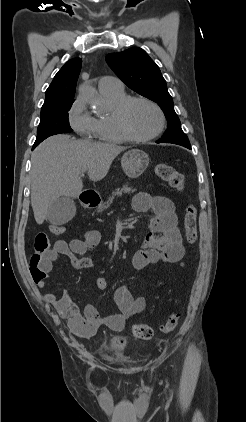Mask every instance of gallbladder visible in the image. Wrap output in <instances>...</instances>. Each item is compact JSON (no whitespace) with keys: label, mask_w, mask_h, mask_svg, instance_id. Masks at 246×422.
<instances>
[{"label":"gallbladder","mask_w":246,"mask_h":422,"mask_svg":"<svg viewBox=\"0 0 246 422\" xmlns=\"http://www.w3.org/2000/svg\"><path fill=\"white\" fill-rule=\"evenodd\" d=\"M76 213V206L72 198L61 196L50 206L46 220L54 225L68 223Z\"/></svg>","instance_id":"bac80fb5"}]
</instances>
